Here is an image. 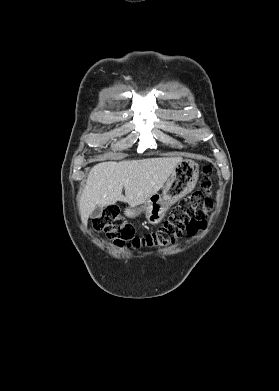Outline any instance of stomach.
Returning <instances> with one entry per match:
<instances>
[{
  "mask_svg": "<svg viewBox=\"0 0 279 391\" xmlns=\"http://www.w3.org/2000/svg\"><path fill=\"white\" fill-rule=\"evenodd\" d=\"M198 178L199 165L193 160L184 159L172 171L163 187L162 194H154L141 207L126 208L124 214L129 218H134L144 213L149 223L158 224L172 205L194 189Z\"/></svg>",
  "mask_w": 279,
  "mask_h": 391,
  "instance_id": "obj_1",
  "label": "stomach"
}]
</instances>
